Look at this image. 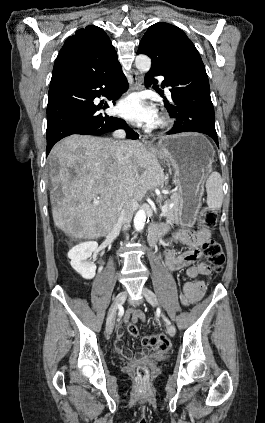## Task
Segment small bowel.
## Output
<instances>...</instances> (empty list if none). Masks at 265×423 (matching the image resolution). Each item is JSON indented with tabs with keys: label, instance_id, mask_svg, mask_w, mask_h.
<instances>
[{
	"label": "small bowel",
	"instance_id": "c3829d8e",
	"mask_svg": "<svg viewBox=\"0 0 265 423\" xmlns=\"http://www.w3.org/2000/svg\"><path fill=\"white\" fill-rule=\"evenodd\" d=\"M164 233L170 230L169 224L156 225ZM174 239L185 245L187 250L174 254L170 249L165 250V264L171 271H180L186 269L190 281L186 282L183 286L180 296L181 302L185 306H189L198 301L205 291V283L202 277L210 273V266L203 261H198L200 254L198 251L199 246L208 238L211 237L209 230L193 231L190 229H178L173 233ZM144 313L139 309L129 310L125 314L126 322H137L144 320ZM123 331L118 329L115 339V350L126 359L131 360L132 355L124 348L123 345Z\"/></svg>",
	"mask_w": 265,
	"mask_h": 423
}]
</instances>
